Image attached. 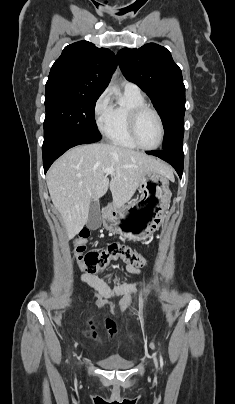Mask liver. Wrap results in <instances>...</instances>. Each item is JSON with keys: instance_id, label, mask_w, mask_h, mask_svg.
I'll use <instances>...</instances> for the list:
<instances>
[{"instance_id": "liver-1", "label": "liver", "mask_w": 235, "mask_h": 404, "mask_svg": "<svg viewBox=\"0 0 235 404\" xmlns=\"http://www.w3.org/2000/svg\"><path fill=\"white\" fill-rule=\"evenodd\" d=\"M106 168L114 169L110 181L103 172ZM151 171L174 178L168 165L142 152L105 143L68 150L47 173L50 197L68 237L73 238L84 227L91 201L105 195L109 186L113 206L122 208L134 195L142 176Z\"/></svg>"}]
</instances>
